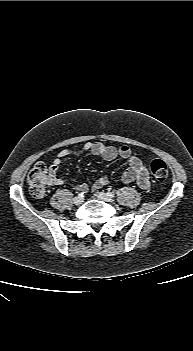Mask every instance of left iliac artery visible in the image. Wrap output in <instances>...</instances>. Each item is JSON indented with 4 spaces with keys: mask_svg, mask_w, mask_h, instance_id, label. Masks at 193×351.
Wrapping results in <instances>:
<instances>
[{
    "mask_svg": "<svg viewBox=\"0 0 193 351\" xmlns=\"http://www.w3.org/2000/svg\"><path fill=\"white\" fill-rule=\"evenodd\" d=\"M107 194L111 197H115V194L113 192H108Z\"/></svg>",
    "mask_w": 193,
    "mask_h": 351,
    "instance_id": "44dca946",
    "label": "left iliac artery"
}]
</instances>
